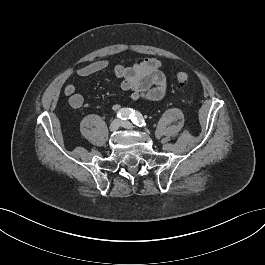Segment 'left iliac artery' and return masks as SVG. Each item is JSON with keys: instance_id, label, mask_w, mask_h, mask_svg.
<instances>
[{"instance_id": "left-iliac-artery-1", "label": "left iliac artery", "mask_w": 265, "mask_h": 265, "mask_svg": "<svg viewBox=\"0 0 265 265\" xmlns=\"http://www.w3.org/2000/svg\"><path fill=\"white\" fill-rule=\"evenodd\" d=\"M131 121L136 124L138 127H144L146 126V123L143 119V116L141 113L139 112H135L133 113V115L131 116Z\"/></svg>"}]
</instances>
